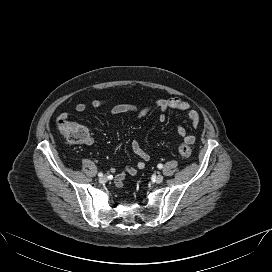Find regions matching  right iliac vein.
<instances>
[{"label": "right iliac vein", "mask_w": 272, "mask_h": 272, "mask_svg": "<svg viewBox=\"0 0 272 272\" xmlns=\"http://www.w3.org/2000/svg\"><path fill=\"white\" fill-rule=\"evenodd\" d=\"M99 182H100V183H106V182H107V177H106V176H102V177L99 179Z\"/></svg>", "instance_id": "obj_1"}]
</instances>
